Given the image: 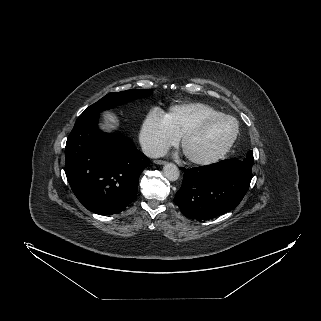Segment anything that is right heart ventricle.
Returning <instances> with one entry per match:
<instances>
[{
  "label": "right heart ventricle",
  "instance_id": "right-heart-ventricle-1",
  "mask_svg": "<svg viewBox=\"0 0 321 321\" xmlns=\"http://www.w3.org/2000/svg\"><path fill=\"white\" fill-rule=\"evenodd\" d=\"M218 114L221 112L211 105L192 102L174 105L162 117L167 129L178 139L200 120Z\"/></svg>",
  "mask_w": 321,
  "mask_h": 321
}]
</instances>
